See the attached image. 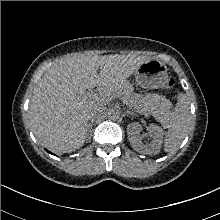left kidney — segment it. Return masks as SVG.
I'll use <instances>...</instances> for the list:
<instances>
[{"label": "left kidney", "instance_id": "1", "mask_svg": "<svg viewBox=\"0 0 220 220\" xmlns=\"http://www.w3.org/2000/svg\"><path fill=\"white\" fill-rule=\"evenodd\" d=\"M141 130L142 126L139 123H132L127 126L128 138L134 150L147 155H156L159 153L163 139L162 128L155 124L149 125L148 131L153 137V140L148 145H144L141 141Z\"/></svg>", "mask_w": 220, "mask_h": 220}]
</instances>
